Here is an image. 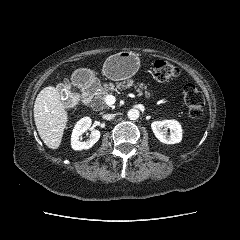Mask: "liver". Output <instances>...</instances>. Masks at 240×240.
<instances>
[{
  "instance_id": "obj_1",
  "label": "liver",
  "mask_w": 240,
  "mask_h": 240,
  "mask_svg": "<svg viewBox=\"0 0 240 240\" xmlns=\"http://www.w3.org/2000/svg\"><path fill=\"white\" fill-rule=\"evenodd\" d=\"M34 121L42 141L51 149H57L68 121L57 89L48 86L42 89L34 103Z\"/></svg>"
}]
</instances>
